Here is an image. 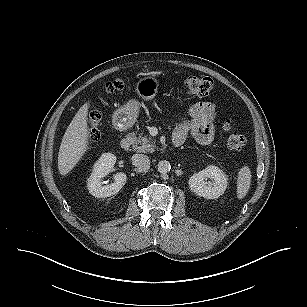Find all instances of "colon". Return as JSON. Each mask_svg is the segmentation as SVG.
<instances>
[{"label": "colon", "mask_w": 307, "mask_h": 307, "mask_svg": "<svg viewBox=\"0 0 307 307\" xmlns=\"http://www.w3.org/2000/svg\"><path fill=\"white\" fill-rule=\"evenodd\" d=\"M186 92L189 95L197 97H208L214 89V82L209 77H200L195 75L186 76L184 79ZM112 91H119L123 87L121 81H113L110 83ZM100 117L97 112H91L88 115V139L91 142L98 141ZM223 129L227 133V145L231 150L241 151L246 145V137L239 131L234 129L232 120L226 119L223 124Z\"/></svg>", "instance_id": "obj_1"}]
</instances>
